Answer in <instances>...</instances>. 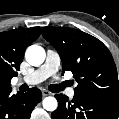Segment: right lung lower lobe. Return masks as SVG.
I'll return each mask as SVG.
<instances>
[{
    "label": "right lung lower lobe",
    "mask_w": 119,
    "mask_h": 119,
    "mask_svg": "<svg viewBox=\"0 0 119 119\" xmlns=\"http://www.w3.org/2000/svg\"><path fill=\"white\" fill-rule=\"evenodd\" d=\"M11 91L0 92V119H30L32 110L42 99L41 91L31 88L16 95H11Z\"/></svg>",
    "instance_id": "98d812e1"
}]
</instances>
